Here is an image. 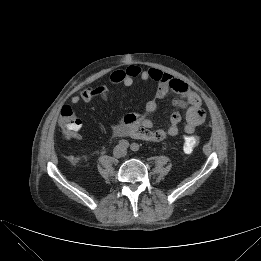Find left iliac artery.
I'll list each match as a JSON object with an SVG mask.
<instances>
[{
	"label": "left iliac artery",
	"mask_w": 261,
	"mask_h": 261,
	"mask_svg": "<svg viewBox=\"0 0 261 261\" xmlns=\"http://www.w3.org/2000/svg\"><path fill=\"white\" fill-rule=\"evenodd\" d=\"M131 150L134 151V152H137L139 150V145L136 144V143H133L131 145Z\"/></svg>",
	"instance_id": "obj_1"
}]
</instances>
